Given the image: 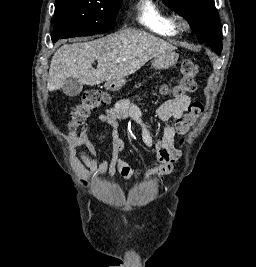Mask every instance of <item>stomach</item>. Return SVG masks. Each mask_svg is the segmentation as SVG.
I'll return each mask as SVG.
<instances>
[{
  "instance_id": "stomach-1",
  "label": "stomach",
  "mask_w": 256,
  "mask_h": 267,
  "mask_svg": "<svg viewBox=\"0 0 256 267\" xmlns=\"http://www.w3.org/2000/svg\"><path fill=\"white\" fill-rule=\"evenodd\" d=\"M178 54L176 52H164V54H159L154 60V64L158 70H166L170 66H174L178 62Z\"/></svg>"
}]
</instances>
